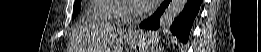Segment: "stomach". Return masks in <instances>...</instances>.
Returning <instances> with one entry per match:
<instances>
[{
    "label": "stomach",
    "mask_w": 261,
    "mask_h": 52,
    "mask_svg": "<svg viewBox=\"0 0 261 52\" xmlns=\"http://www.w3.org/2000/svg\"><path fill=\"white\" fill-rule=\"evenodd\" d=\"M127 40L131 48L140 52H149L158 44L159 37L154 32H141L134 37H128Z\"/></svg>",
    "instance_id": "1"
}]
</instances>
